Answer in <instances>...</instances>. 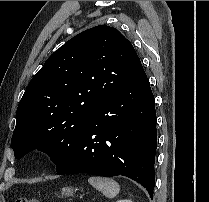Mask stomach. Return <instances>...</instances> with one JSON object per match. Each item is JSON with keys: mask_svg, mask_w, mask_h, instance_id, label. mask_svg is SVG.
<instances>
[{"mask_svg": "<svg viewBox=\"0 0 209 202\" xmlns=\"http://www.w3.org/2000/svg\"><path fill=\"white\" fill-rule=\"evenodd\" d=\"M61 193L62 195L70 196L74 194V189L72 187H64L62 188Z\"/></svg>", "mask_w": 209, "mask_h": 202, "instance_id": "1", "label": "stomach"}]
</instances>
